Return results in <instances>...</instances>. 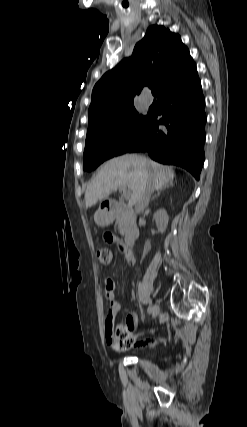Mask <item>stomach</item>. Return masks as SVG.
<instances>
[{"instance_id": "obj_1", "label": "stomach", "mask_w": 247, "mask_h": 427, "mask_svg": "<svg viewBox=\"0 0 247 427\" xmlns=\"http://www.w3.org/2000/svg\"><path fill=\"white\" fill-rule=\"evenodd\" d=\"M94 220L97 225L104 227L112 222L113 216L106 209H99L94 215Z\"/></svg>"}]
</instances>
